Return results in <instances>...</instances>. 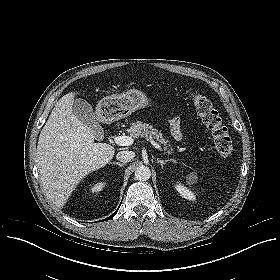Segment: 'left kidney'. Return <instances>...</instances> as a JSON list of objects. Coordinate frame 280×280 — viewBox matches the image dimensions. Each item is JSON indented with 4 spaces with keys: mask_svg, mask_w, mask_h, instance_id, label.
<instances>
[{
    "mask_svg": "<svg viewBox=\"0 0 280 280\" xmlns=\"http://www.w3.org/2000/svg\"><path fill=\"white\" fill-rule=\"evenodd\" d=\"M175 189L178 191V193L185 199L187 200H195L196 199V195L194 192H192L190 189H188L187 187H185L183 184L177 182L175 184Z\"/></svg>",
    "mask_w": 280,
    "mask_h": 280,
    "instance_id": "obj_1",
    "label": "left kidney"
}]
</instances>
